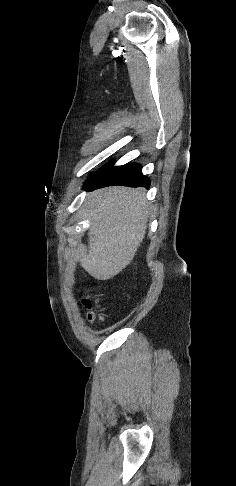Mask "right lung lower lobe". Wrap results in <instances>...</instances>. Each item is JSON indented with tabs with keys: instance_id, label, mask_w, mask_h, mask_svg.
Here are the masks:
<instances>
[{
	"instance_id": "obj_1",
	"label": "right lung lower lobe",
	"mask_w": 236,
	"mask_h": 486,
	"mask_svg": "<svg viewBox=\"0 0 236 486\" xmlns=\"http://www.w3.org/2000/svg\"><path fill=\"white\" fill-rule=\"evenodd\" d=\"M113 185L149 187L150 180L142 174L141 165L137 163H128L117 167L108 163L91 176L86 182L84 189L92 191L94 189Z\"/></svg>"
}]
</instances>
